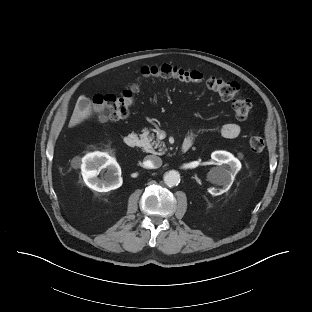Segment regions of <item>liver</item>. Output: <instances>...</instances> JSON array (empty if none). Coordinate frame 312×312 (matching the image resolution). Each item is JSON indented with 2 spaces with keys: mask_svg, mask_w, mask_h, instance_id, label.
<instances>
[{
  "mask_svg": "<svg viewBox=\"0 0 312 312\" xmlns=\"http://www.w3.org/2000/svg\"><path fill=\"white\" fill-rule=\"evenodd\" d=\"M82 100H86L87 103L85 105H81L80 102ZM90 116H92V104L88 102V99L86 96L82 95L79 97L76 103V106L71 116L68 127L72 128L82 123L84 120L88 119Z\"/></svg>",
  "mask_w": 312,
  "mask_h": 312,
  "instance_id": "1",
  "label": "liver"
}]
</instances>
